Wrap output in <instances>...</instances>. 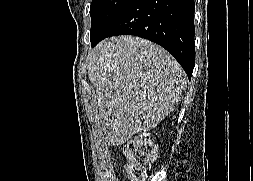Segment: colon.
<instances>
[{
    "label": "colon",
    "mask_w": 253,
    "mask_h": 181,
    "mask_svg": "<svg viewBox=\"0 0 253 181\" xmlns=\"http://www.w3.org/2000/svg\"><path fill=\"white\" fill-rule=\"evenodd\" d=\"M128 176L134 181H142L150 163L156 156V147L147 137L135 140L128 146Z\"/></svg>",
    "instance_id": "colon-1"
}]
</instances>
